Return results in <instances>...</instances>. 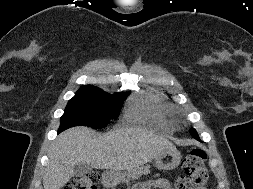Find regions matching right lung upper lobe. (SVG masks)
Here are the masks:
<instances>
[{"mask_svg": "<svg viewBox=\"0 0 253 189\" xmlns=\"http://www.w3.org/2000/svg\"><path fill=\"white\" fill-rule=\"evenodd\" d=\"M102 90L94 86H82L77 93H92V92H101Z\"/></svg>", "mask_w": 253, "mask_h": 189, "instance_id": "1", "label": "right lung upper lobe"}]
</instances>
